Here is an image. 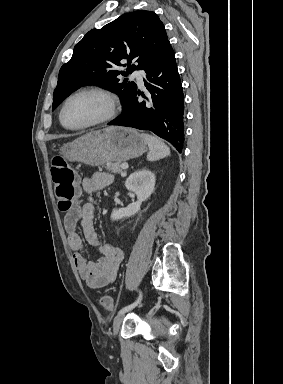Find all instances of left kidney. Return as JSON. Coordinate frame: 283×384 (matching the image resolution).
<instances>
[{"label": "left kidney", "instance_id": "obj_1", "mask_svg": "<svg viewBox=\"0 0 283 384\" xmlns=\"http://www.w3.org/2000/svg\"><path fill=\"white\" fill-rule=\"evenodd\" d=\"M155 186V176L150 172V170H139V172H134L130 174L125 182V188L134 192L138 200L137 202H132L127 208H114L111 214V220H122V218H131L134 214H137L140 210L142 202L148 200L151 196Z\"/></svg>", "mask_w": 283, "mask_h": 384}]
</instances>
